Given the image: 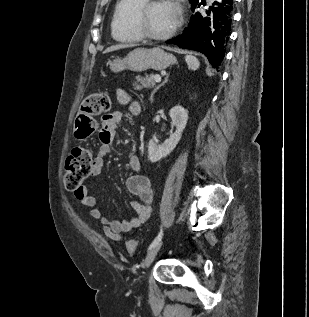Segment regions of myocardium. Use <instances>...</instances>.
<instances>
[{"instance_id": "obj_1", "label": "myocardium", "mask_w": 309, "mask_h": 317, "mask_svg": "<svg viewBox=\"0 0 309 317\" xmlns=\"http://www.w3.org/2000/svg\"><path fill=\"white\" fill-rule=\"evenodd\" d=\"M160 2H163V1L162 0H145V2L141 4L136 11L135 27L137 31L139 32V34L141 35V37L144 39L154 40V41L167 40L170 37H172L181 26L182 20L180 17H178L175 25L167 33L154 34V33H151L147 29L145 24L146 15L148 11L151 9V7H153L154 5Z\"/></svg>"}]
</instances>
